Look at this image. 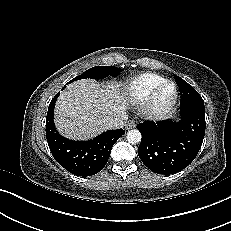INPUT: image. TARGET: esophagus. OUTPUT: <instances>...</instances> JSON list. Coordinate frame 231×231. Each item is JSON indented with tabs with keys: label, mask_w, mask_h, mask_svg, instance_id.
Listing matches in <instances>:
<instances>
[{
	"label": "esophagus",
	"mask_w": 231,
	"mask_h": 231,
	"mask_svg": "<svg viewBox=\"0 0 231 231\" xmlns=\"http://www.w3.org/2000/svg\"><path fill=\"white\" fill-rule=\"evenodd\" d=\"M135 126H136L135 121L129 120V121L127 122V124L125 125V128H126V129H132V128H134Z\"/></svg>",
	"instance_id": "obj_1"
}]
</instances>
